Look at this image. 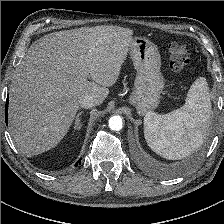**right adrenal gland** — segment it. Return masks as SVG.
<instances>
[{
  "instance_id": "obj_1",
  "label": "right adrenal gland",
  "mask_w": 224,
  "mask_h": 224,
  "mask_svg": "<svg viewBox=\"0 0 224 224\" xmlns=\"http://www.w3.org/2000/svg\"><path fill=\"white\" fill-rule=\"evenodd\" d=\"M84 112H79L78 114H77V116H76V119H75V126H74V129H76V130H79L80 128H81V126H82V124H81V115L83 114Z\"/></svg>"
}]
</instances>
